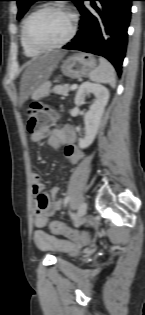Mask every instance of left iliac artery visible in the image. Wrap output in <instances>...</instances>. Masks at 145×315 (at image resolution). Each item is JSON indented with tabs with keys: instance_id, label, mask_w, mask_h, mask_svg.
I'll return each mask as SVG.
<instances>
[{
	"instance_id": "1",
	"label": "left iliac artery",
	"mask_w": 145,
	"mask_h": 315,
	"mask_svg": "<svg viewBox=\"0 0 145 315\" xmlns=\"http://www.w3.org/2000/svg\"><path fill=\"white\" fill-rule=\"evenodd\" d=\"M69 200H70V197H69V196H67V197L64 199V205H65V206L68 204Z\"/></svg>"
}]
</instances>
